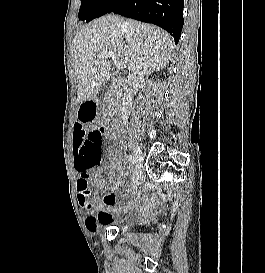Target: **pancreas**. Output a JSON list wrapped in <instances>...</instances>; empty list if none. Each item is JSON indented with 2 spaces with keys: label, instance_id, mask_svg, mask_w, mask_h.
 Returning <instances> with one entry per match:
<instances>
[{
  "label": "pancreas",
  "instance_id": "1",
  "mask_svg": "<svg viewBox=\"0 0 265 273\" xmlns=\"http://www.w3.org/2000/svg\"><path fill=\"white\" fill-rule=\"evenodd\" d=\"M115 107V100L114 98H111L109 101H108V110H113Z\"/></svg>",
  "mask_w": 265,
  "mask_h": 273
}]
</instances>
